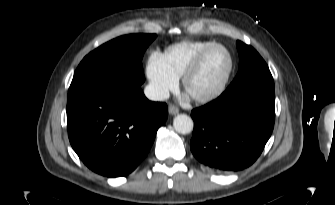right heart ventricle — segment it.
<instances>
[{
  "label": "right heart ventricle",
  "instance_id": "right-heart-ventricle-1",
  "mask_svg": "<svg viewBox=\"0 0 335 205\" xmlns=\"http://www.w3.org/2000/svg\"><path fill=\"white\" fill-rule=\"evenodd\" d=\"M213 43L212 41L185 40L169 46L162 55L169 70L180 77L197 54Z\"/></svg>",
  "mask_w": 335,
  "mask_h": 205
}]
</instances>
